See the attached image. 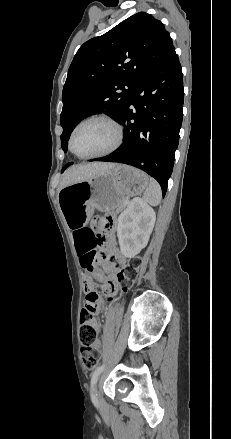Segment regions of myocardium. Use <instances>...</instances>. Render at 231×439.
Returning <instances> with one entry per match:
<instances>
[{"mask_svg":"<svg viewBox=\"0 0 231 439\" xmlns=\"http://www.w3.org/2000/svg\"><path fill=\"white\" fill-rule=\"evenodd\" d=\"M92 120H103L113 127V129L115 131L114 143L109 148H107L106 150L101 151L99 153L89 154V155H79L74 151V148H73L74 135L80 126H82L84 123L92 121ZM123 139H124L123 127L118 122V120H116L113 116L106 114V113H95V114H91V115L83 118L73 127V129L70 133V136H69L68 145H69V149H70L71 153L73 155H75L77 158H79V159H95V158H101V157L108 156V155L112 154L113 152H115L122 145Z\"/></svg>","mask_w":231,"mask_h":439,"instance_id":"f54148a6","label":"myocardium"}]
</instances>
